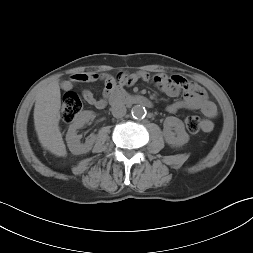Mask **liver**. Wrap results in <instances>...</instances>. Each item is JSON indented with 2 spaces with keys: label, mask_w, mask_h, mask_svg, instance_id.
Masks as SVG:
<instances>
[{
  "label": "liver",
  "mask_w": 253,
  "mask_h": 253,
  "mask_svg": "<svg viewBox=\"0 0 253 253\" xmlns=\"http://www.w3.org/2000/svg\"><path fill=\"white\" fill-rule=\"evenodd\" d=\"M60 107L59 80H53L36 95L34 125L42 147L58 157H65L67 151L59 127Z\"/></svg>",
  "instance_id": "6515ba94"
}]
</instances>
